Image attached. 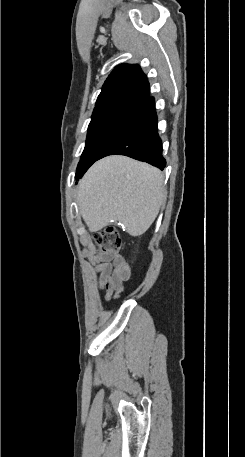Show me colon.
Wrapping results in <instances>:
<instances>
[{
	"label": "colon",
	"mask_w": 245,
	"mask_h": 457,
	"mask_svg": "<svg viewBox=\"0 0 245 457\" xmlns=\"http://www.w3.org/2000/svg\"><path fill=\"white\" fill-rule=\"evenodd\" d=\"M94 244L99 247L102 255L114 254L122 246V238L119 230L114 226H108L93 236Z\"/></svg>",
	"instance_id": "obj_1"
}]
</instances>
